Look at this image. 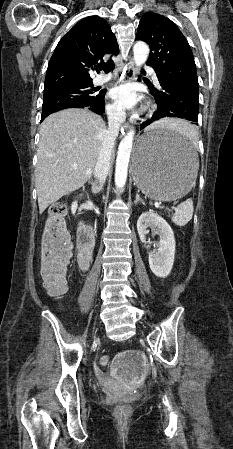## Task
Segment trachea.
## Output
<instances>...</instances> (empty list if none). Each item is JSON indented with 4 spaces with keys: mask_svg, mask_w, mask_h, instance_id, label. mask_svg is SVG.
<instances>
[{
    "mask_svg": "<svg viewBox=\"0 0 233 449\" xmlns=\"http://www.w3.org/2000/svg\"><path fill=\"white\" fill-rule=\"evenodd\" d=\"M115 67V64L113 62L112 59H110L108 62L98 65L96 67L97 70H104L105 73H109L110 71H112Z\"/></svg>",
    "mask_w": 233,
    "mask_h": 449,
    "instance_id": "1",
    "label": "trachea"
}]
</instances>
